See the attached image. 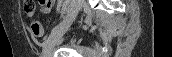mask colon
Listing matches in <instances>:
<instances>
[{
  "label": "colon",
  "instance_id": "obj_1",
  "mask_svg": "<svg viewBox=\"0 0 172 57\" xmlns=\"http://www.w3.org/2000/svg\"><path fill=\"white\" fill-rule=\"evenodd\" d=\"M34 8H35L34 2L33 1H28V5H27L25 10L27 12H33ZM30 31H31V34L34 37H40L42 35V32H43L40 23L38 21H36V20L31 21Z\"/></svg>",
  "mask_w": 172,
  "mask_h": 57
}]
</instances>
